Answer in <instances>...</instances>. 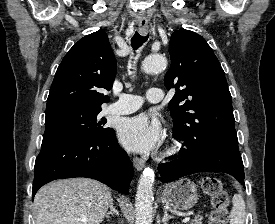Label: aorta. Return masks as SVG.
Masks as SVG:
<instances>
[{
    "label": "aorta",
    "instance_id": "aorta-1",
    "mask_svg": "<svg viewBox=\"0 0 275 224\" xmlns=\"http://www.w3.org/2000/svg\"><path fill=\"white\" fill-rule=\"evenodd\" d=\"M143 70L147 73L160 72L167 66V60L162 55H149L143 61ZM155 174L151 168H145L142 172L135 199V224H151L153 211V186Z\"/></svg>",
    "mask_w": 275,
    "mask_h": 224
}]
</instances>
